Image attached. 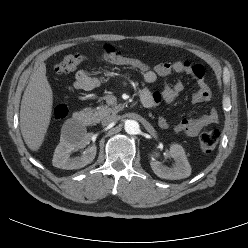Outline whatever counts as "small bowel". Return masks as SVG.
<instances>
[{"instance_id":"1","label":"small bowel","mask_w":248,"mask_h":248,"mask_svg":"<svg viewBox=\"0 0 248 248\" xmlns=\"http://www.w3.org/2000/svg\"><path fill=\"white\" fill-rule=\"evenodd\" d=\"M144 81L147 84H153L159 77H165L171 74L186 73L191 75L197 82L198 90L192 95L193 103H205L212 100V92L205 80V69L199 64L190 60L161 62L149 69L140 71ZM100 80L88 70H79L75 75L73 87L78 91H91L98 87ZM184 90V84L176 81L173 84H167L161 92H153L150 89H144L141 96H148L152 99V106L159 105L161 102L172 103ZM219 113L212 109L209 113L195 117L183 119L178 122L174 130L176 133L186 136H196L205 127L216 124L219 121ZM158 126L162 129L169 128V122L166 118L158 119Z\"/></svg>"}]
</instances>
